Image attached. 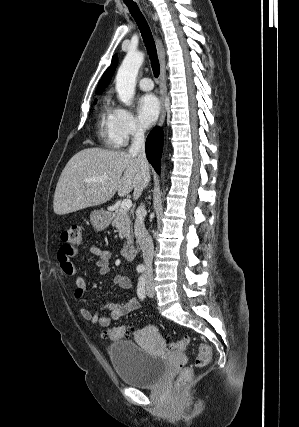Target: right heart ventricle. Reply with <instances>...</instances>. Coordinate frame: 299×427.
<instances>
[{
  "instance_id": "right-heart-ventricle-1",
  "label": "right heart ventricle",
  "mask_w": 299,
  "mask_h": 427,
  "mask_svg": "<svg viewBox=\"0 0 299 427\" xmlns=\"http://www.w3.org/2000/svg\"><path fill=\"white\" fill-rule=\"evenodd\" d=\"M112 121L113 108L110 106L108 100H105L98 116V133L108 147L115 148L118 145L113 136Z\"/></svg>"
}]
</instances>
